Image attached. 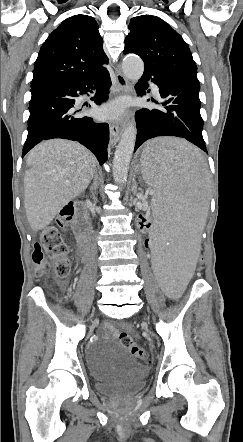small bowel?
<instances>
[{
    "mask_svg": "<svg viewBox=\"0 0 243 442\" xmlns=\"http://www.w3.org/2000/svg\"><path fill=\"white\" fill-rule=\"evenodd\" d=\"M106 331L111 335V336H115L117 333V330L115 327H113L112 325H107L106 326Z\"/></svg>",
    "mask_w": 243,
    "mask_h": 442,
    "instance_id": "small-bowel-1",
    "label": "small bowel"
}]
</instances>
